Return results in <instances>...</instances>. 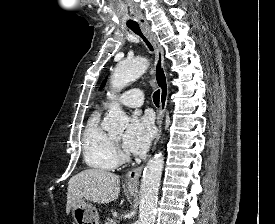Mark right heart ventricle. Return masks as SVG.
Masks as SVG:
<instances>
[{"label":"right heart ventricle","instance_id":"1","mask_svg":"<svg viewBox=\"0 0 275 224\" xmlns=\"http://www.w3.org/2000/svg\"><path fill=\"white\" fill-rule=\"evenodd\" d=\"M101 109L88 118L83 132V156L86 164L97 170H113L118 166L111 136L101 126Z\"/></svg>","mask_w":275,"mask_h":224}]
</instances>
